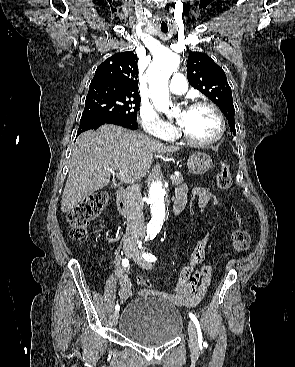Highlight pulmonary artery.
I'll list each match as a JSON object with an SVG mask.
<instances>
[{"instance_id":"pulmonary-artery-1","label":"pulmonary artery","mask_w":295,"mask_h":367,"mask_svg":"<svg viewBox=\"0 0 295 367\" xmlns=\"http://www.w3.org/2000/svg\"><path fill=\"white\" fill-rule=\"evenodd\" d=\"M188 85L182 73H175L171 79L169 89L175 94H183L187 91Z\"/></svg>"}]
</instances>
